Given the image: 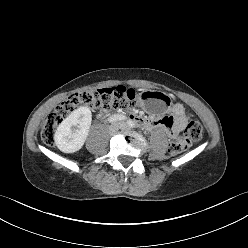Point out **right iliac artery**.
<instances>
[{"mask_svg": "<svg viewBox=\"0 0 248 248\" xmlns=\"http://www.w3.org/2000/svg\"><path fill=\"white\" fill-rule=\"evenodd\" d=\"M125 119H126V117L123 116V115H114V116L110 117V118L108 119V121H109V123H113V122H115V121H118V120H125Z\"/></svg>", "mask_w": 248, "mask_h": 248, "instance_id": "obj_1", "label": "right iliac artery"}]
</instances>
